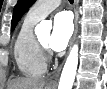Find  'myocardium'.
I'll return each instance as SVG.
<instances>
[{"label":"myocardium","mask_w":107,"mask_h":89,"mask_svg":"<svg viewBox=\"0 0 107 89\" xmlns=\"http://www.w3.org/2000/svg\"><path fill=\"white\" fill-rule=\"evenodd\" d=\"M37 45H38L39 51L42 54L44 60H46L47 54H48L47 45L43 44L39 38H37Z\"/></svg>","instance_id":"myocardium-1"}]
</instances>
